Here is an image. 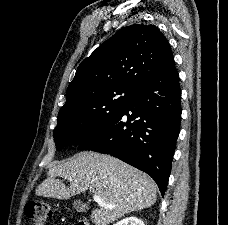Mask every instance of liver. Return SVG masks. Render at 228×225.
Listing matches in <instances>:
<instances>
[{"label":"liver","mask_w":228,"mask_h":225,"mask_svg":"<svg viewBox=\"0 0 228 225\" xmlns=\"http://www.w3.org/2000/svg\"><path fill=\"white\" fill-rule=\"evenodd\" d=\"M57 177L70 183L66 187ZM89 191L102 201L99 209L92 211L94 225H110L132 211L152 207L157 201V187L146 173L114 159L110 155H99L93 151H82L67 163L52 165L47 179L36 189L38 197L70 199ZM108 205H115L109 209Z\"/></svg>","instance_id":"liver-1"}]
</instances>
